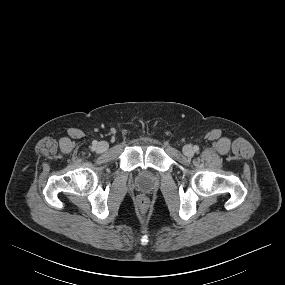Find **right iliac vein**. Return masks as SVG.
I'll list each match as a JSON object with an SVG mask.
<instances>
[{"mask_svg":"<svg viewBox=\"0 0 285 285\" xmlns=\"http://www.w3.org/2000/svg\"><path fill=\"white\" fill-rule=\"evenodd\" d=\"M109 145L107 142H99L98 145H97V151L98 152H105L107 149H108Z\"/></svg>","mask_w":285,"mask_h":285,"instance_id":"obj_1","label":"right iliac vein"}]
</instances>
